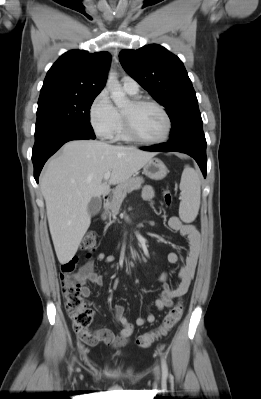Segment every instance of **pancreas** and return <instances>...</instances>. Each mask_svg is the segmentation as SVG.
Returning <instances> with one entry per match:
<instances>
[{"label":"pancreas","instance_id":"cf45deb5","mask_svg":"<svg viewBox=\"0 0 261 399\" xmlns=\"http://www.w3.org/2000/svg\"><path fill=\"white\" fill-rule=\"evenodd\" d=\"M143 183L144 179L142 177H132L119 184L113 191V201L109 205L108 210L103 214V219L106 218V215L109 217L116 216L120 211V207L127 193L140 189Z\"/></svg>","mask_w":261,"mask_h":399}]
</instances>
